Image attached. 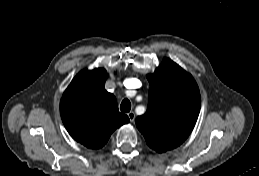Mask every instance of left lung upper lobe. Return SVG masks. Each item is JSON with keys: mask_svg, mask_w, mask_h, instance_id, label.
<instances>
[{"mask_svg": "<svg viewBox=\"0 0 259 176\" xmlns=\"http://www.w3.org/2000/svg\"><path fill=\"white\" fill-rule=\"evenodd\" d=\"M147 78L148 109L136 118V126L148 146L162 153L182 144L193 130L200 92L193 77L168 58Z\"/></svg>", "mask_w": 259, "mask_h": 176, "instance_id": "1", "label": "left lung upper lobe"}]
</instances>
